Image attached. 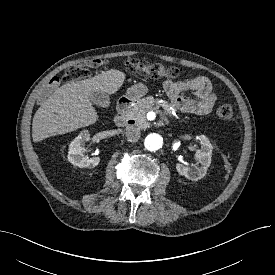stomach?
I'll use <instances>...</instances> for the list:
<instances>
[{
    "label": "stomach",
    "mask_w": 275,
    "mask_h": 275,
    "mask_svg": "<svg viewBox=\"0 0 275 275\" xmlns=\"http://www.w3.org/2000/svg\"><path fill=\"white\" fill-rule=\"evenodd\" d=\"M148 92V88L144 84H135L127 89L126 98L136 100L144 96Z\"/></svg>",
    "instance_id": "1"
}]
</instances>
